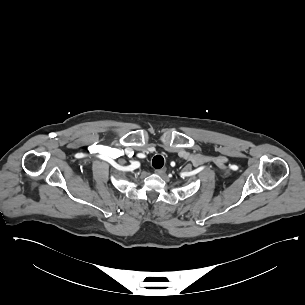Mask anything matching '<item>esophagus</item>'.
<instances>
[{"mask_svg": "<svg viewBox=\"0 0 305 305\" xmlns=\"http://www.w3.org/2000/svg\"><path fill=\"white\" fill-rule=\"evenodd\" d=\"M167 168L164 167V168H161V169H156L155 170V173L158 174V175H162L166 172Z\"/></svg>", "mask_w": 305, "mask_h": 305, "instance_id": "obj_1", "label": "esophagus"}]
</instances>
